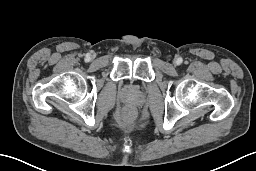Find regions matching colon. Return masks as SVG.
Returning a JSON list of instances; mask_svg holds the SVG:
<instances>
[{"label":"colon","instance_id":"1","mask_svg":"<svg viewBox=\"0 0 256 171\" xmlns=\"http://www.w3.org/2000/svg\"><path fill=\"white\" fill-rule=\"evenodd\" d=\"M134 118V111L132 109H126L123 113H122V116H121V119L124 121V122H129L131 120H133Z\"/></svg>","mask_w":256,"mask_h":171}]
</instances>
